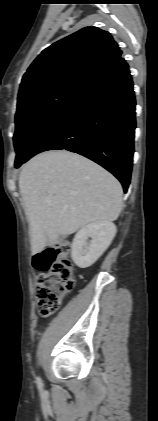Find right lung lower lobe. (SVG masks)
Segmentation results:
<instances>
[{"mask_svg": "<svg viewBox=\"0 0 158 421\" xmlns=\"http://www.w3.org/2000/svg\"><path fill=\"white\" fill-rule=\"evenodd\" d=\"M135 105L129 66L120 57L83 85L23 163L43 151L66 149L103 166L126 192L134 153Z\"/></svg>", "mask_w": 158, "mask_h": 421, "instance_id": "98d812e1", "label": "right lung lower lobe"}]
</instances>
